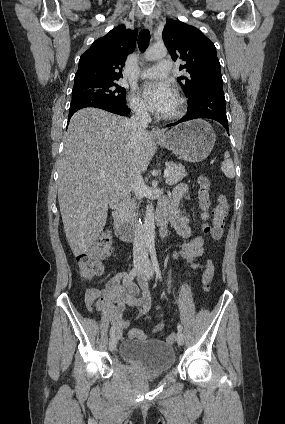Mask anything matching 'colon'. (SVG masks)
Segmentation results:
<instances>
[{
  "mask_svg": "<svg viewBox=\"0 0 285 424\" xmlns=\"http://www.w3.org/2000/svg\"><path fill=\"white\" fill-rule=\"evenodd\" d=\"M198 193L200 197V205L203 210H207L210 205L209 192L211 180L207 175H203L198 181ZM229 205L225 195L221 194L217 197L216 205L212 210L210 222L204 224V233L210 235L214 240H218L223 232L225 219L228 215ZM203 218L208 220V214L204 213ZM113 239L110 230L105 229L101 232L93 249L82 252L77 255L76 262L78 265L79 275L83 280H92L100 275L103 271V260L111 253ZM214 275L213 261L208 258L204 271V289L209 290ZM131 339L143 338L144 334L139 330L133 329L129 332ZM175 340V334L172 333L167 337V341L172 343Z\"/></svg>",
  "mask_w": 285,
  "mask_h": 424,
  "instance_id": "1",
  "label": "colon"
}]
</instances>
